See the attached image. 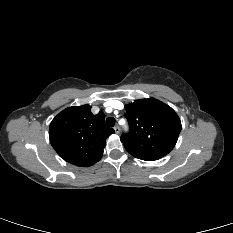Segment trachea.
I'll return each instance as SVG.
<instances>
[{
    "label": "trachea",
    "instance_id": "1",
    "mask_svg": "<svg viewBox=\"0 0 233 233\" xmlns=\"http://www.w3.org/2000/svg\"><path fill=\"white\" fill-rule=\"evenodd\" d=\"M106 124L109 126V127H113L115 125V119L113 117H108L106 119Z\"/></svg>",
    "mask_w": 233,
    "mask_h": 233
}]
</instances>
